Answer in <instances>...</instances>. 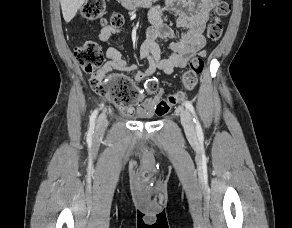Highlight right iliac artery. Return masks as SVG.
I'll use <instances>...</instances> for the list:
<instances>
[{"instance_id":"right-iliac-artery-1","label":"right iliac artery","mask_w":292,"mask_h":228,"mask_svg":"<svg viewBox=\"0 0 292 228\" xmlns=\"http://www.w3.org/2000/svg\"><path fill=\"white\" fill-rule=\"evenodd\" d=\"M97 115H98V109H95L90 116V123H89V130H88L89 135H92L94 133L95 120H96Z\"/></svg>"}]
</instances>
